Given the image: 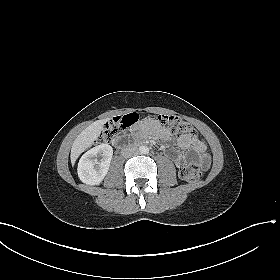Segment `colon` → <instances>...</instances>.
I'll use <instances>...</instances> for the list:
<instances>
[{
    "mask_svg": "<svg viewBox=\"0 0 280 280\" xmlns=\"http://www.w3.org/2000/svg\"><path fill=\"white\" fill-rule=\"evenodd\" d=\"M139 117L136 113H130L122 118H114L109 121L101 132L98 141L100 143L115 142L122 132L137 123ZM157 122L162 128L174 135L195 136L194 127L186 120L174 115H158ZM202 176V169L196 162H189L180 170V177L189 182H195Z\"/></svg>",
    "mask_w": 280,
    "mask_h": 280,
    "instance_id": "obj_1",
    "label": "colon"
}]
</instances>
